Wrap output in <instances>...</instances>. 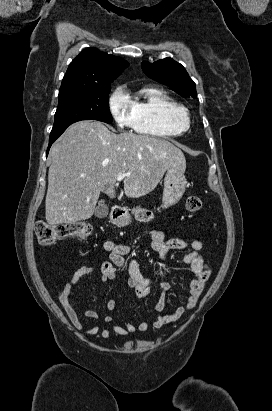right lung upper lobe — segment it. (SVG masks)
I'll return each mask as SVG.
<instances>
[{"instance_id":"cb5924a9","label":"right lung upper lobe","mask_w":272,"mask_h":411,"mask_svg":"<svg viewBox=\"0 0 272 411\" xmlns=\"http://www.w3.org/2000/svg\"><path fill=\"white\" fill-rule=\"evenodd\" d=\"M129 63L96 48H87L70 63L59 92L85 90L111 83Z\"/></svg>"}]
</instances>
